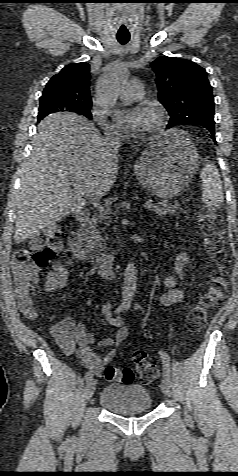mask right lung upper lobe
<instances>
[{
	"label": "right lung upper lobe",
	"instance_id": "obj_1",
	"mask_svg": "<svg viewBox=\"0 0 238 476\" xmlns=\"http://www.w3.org/2000/svg\"><path fill=\"white\" fill-rule=\"evenodd\" d=\"M90 65L86 62L65 66L47 83L40 102H51L66 111L91 108Z\"/></svg>",
	"mask_w": 238,
	"mask_h": 476
}]
</instances>
